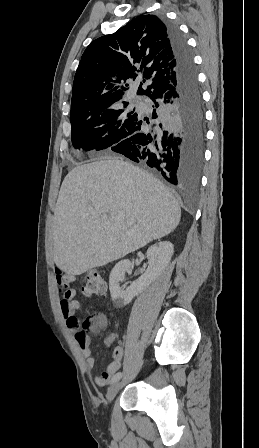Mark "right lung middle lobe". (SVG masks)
I'll use <instances>...</instances> for the list:
<instances>
[{"mask_svg":"<svg viewBox=\"0 0 259 448\" xmlns=\"http://www.w3.org/2000/svg\"><path fill=\"white\" fill-rule=\"evenodd\" d=\"M137 117L135 110L129 112L117 105L73 113L70 115L73 147L85 151L111 148L122 140Z\"/></svg>","mask_w":259,"mask_h":448,"instance_id":"obj_1","label":"right lung middle lobe"}]
</instances>
